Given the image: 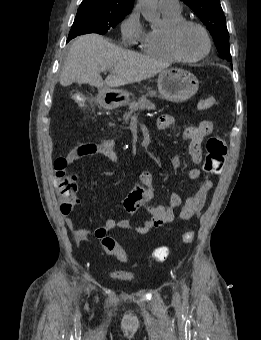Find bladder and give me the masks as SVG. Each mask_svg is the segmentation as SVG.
<instances>
[{"label": "bladder", "instance_id": "obj_1", "mask_svg": "<svg viewBox=\"0 0 261 340\" xmlns=\"http://www.w3.org/2000/svg\"><path fill=\"white\" fill-rule=\"evenodd\" d=\"M114 277L116 279L123 280V281H132L133 280V276L127 275V274L114 273Z\"/></svg>", "mask_w": 261, "mask_h": 340}]
</instances>
